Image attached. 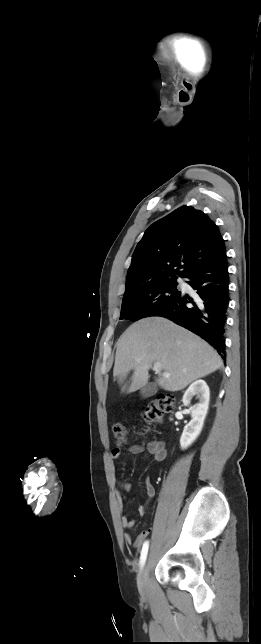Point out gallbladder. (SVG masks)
<instances>
[{"instance_id": "1", "label": "gallbladder", "mask_w": 261, "mask_h": 644, "mask_svg": "<svg viewBox=\"0 0 261 644\" xmlns=\"http://www.w3.org/2000/svg\"><path fill=\"white\" fill-rule=\"evenodd\" d=\"M157 392V387L153 383H148L146 384L140 391V395L142 398H149L153 396Z\"/></svg>"}]
</instances>
